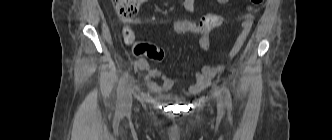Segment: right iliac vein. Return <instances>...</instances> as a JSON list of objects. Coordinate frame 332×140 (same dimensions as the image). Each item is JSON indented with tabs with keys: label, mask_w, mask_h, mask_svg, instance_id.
Here are the masks:
<instances>
[{
	"label": "right iliac vein",
	"mask_w": 332,
	"mask_h": 140,
	"mask_svg": "<svg viewBox=\"0 0 332 140\" xmlns=\"http://www.w3.org/2000/svg\"><path fill=\"white\" fill-rule=\"evenodd\" d=\"M132 106V90L130 87L126 88L123 94V100H122V110L124 112L130 111Z\"/></svg>",
	"instance_id": "1"
}]
</instances>
